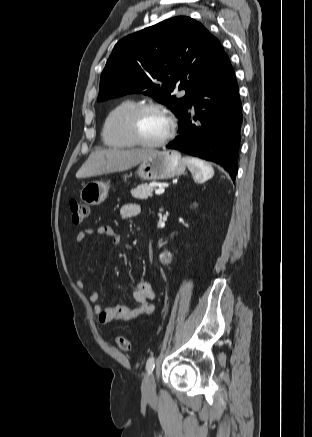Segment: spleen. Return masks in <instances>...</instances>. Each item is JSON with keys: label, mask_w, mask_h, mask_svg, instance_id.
Returning a JSON list of instances; mask_svg holds the SVG:
<instances>
[{"label": "spleen", "mask_w": 312, "mask_h": 437, "mask_svg": "<svg viewBox=\"0 0 312 437\" xmlns=\"http://www.w3.org/2000/svg\"><path fill=\"white\" fill-rule=\"evenodd\" d=\"M183 161L188 166L194 181L197 183H203L214 175L212 166L199 158L184 157Z\"/></svg>", "instance_id": "spleen-1"}]
</instances>
